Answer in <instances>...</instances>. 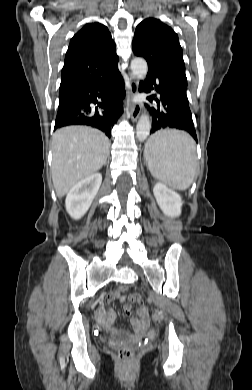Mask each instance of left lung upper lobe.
Returning a JSON list of instances; mask_svg holds the SVG:
<instances>
[{
	"label": "left lung upper lobe",
	"mask_w": 252,
	"mask_h": 390,
	"mask_svg": "<svg viewBox=\"0 0 252 390\" xmlns=\"http://www.w3.org/2000/svg\"><path fill=\"white\" fill-rule=\"evenodd\" d=\"M132 49L146 59L148 70L167 74L187 86L182 48L171 27L158 19H144L136 27Z\"/></svg>",
	"instance_id": "left-lung-upper-lobe-1"
}]
</instances>
